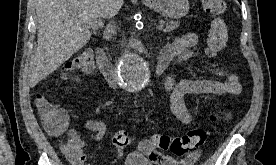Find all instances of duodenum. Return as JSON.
<instances>
[{"mask_svg":"<svg viewBox=\"0 0 276 165\" xmlns=\"http://www.w3.org/2000/svg\"><path fill=\"white\" fill-rule=\"evenodd\" d=\"M96 63L100 70V72L103 74V76L108 81L109 85L113 88H119L120 87V80L117 75V71L108 58L106 52L102 47L96 48ZM169 65L168 59L160 56L157 60L155 72L157 75L163 73Z\"/></svg>","mask_w":276,"mask_h":165,"instance_id":"1","label":"duodenum"}]
</instances>
